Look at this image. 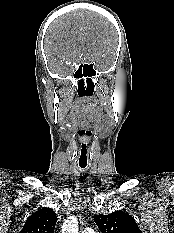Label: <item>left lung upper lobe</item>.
I'll use <instances>...</instances> for the list:
<instances>
[{
	"label": "left lung upper lobe",
	"mask_w": 174,
	"mask_h": 233,
	"mask_svg": "<svg viewBox=\"0 0 174 233\" xmlns=\"http://www.w3.org/2000/svg\"><path fill=\"white\" fill-rule=\"evenodd\" d=\"M94 221L101 233H142L134 218L121 210L108 215H96Z\"/></svg>",
	"instance_id": "5c2ea615"
}]
</instances>
